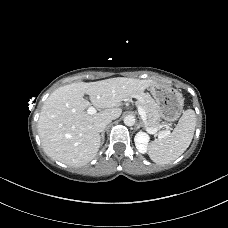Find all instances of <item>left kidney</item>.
Instances as JSON below:
<instances>
[{
    "label": "left kidney",
    "mask_w": 228,
    "mask_h": 228,
    "mask_svg": "<svg viewBox=\"0 0 228 228\" xmlns=\"http://www.w3.org/2000/svg\"><path fill=\"white\" fill-rule=\"evenodd\" d=\"M149 139V135L142 131L135 135V146L140 153L144 154L147 152Z\"/></svg>",
    "instance_id": "left-kidney-1"
}]
</instances>
